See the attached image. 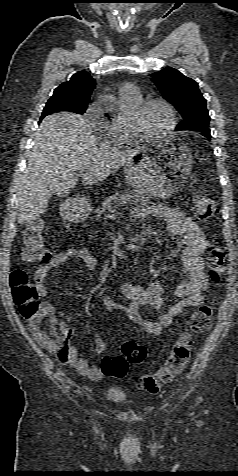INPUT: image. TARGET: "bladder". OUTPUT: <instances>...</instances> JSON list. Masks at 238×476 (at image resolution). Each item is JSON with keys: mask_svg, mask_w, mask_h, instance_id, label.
Returning <instances> with one entry per match:
<instances>
[{"mask_svg": "<svg viewBox=\"0 0 238 476\" xmlns=\"http://www.w3.org/2000/svg\"><path fill=\"white\" fill-rule=\"evenodd\" d=\"M106 396L110 401L121 402L126 399V394L118 387H109Z\"/></svg>", "mask_w": 238, "mask_h": 476, "instance_id": "1", "label": "bladder"}]
</instances>
